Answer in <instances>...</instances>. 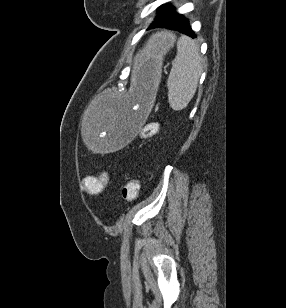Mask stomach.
<instances>
[{"label":"stomach","mask_w":286,"mask_h":308,"mask_svg":"<svg viewBox=\"0 0 286 308\" xmlns=\"http://www.w3.org/2000/svg\"><path fill=\"white\" fill-rule=\"evenodd\" d=\"M175 41L172 33L161 32L152 36L145 48L135 49L136 55L130 60L135 91H127V96H114L107 91L99 100H92L94 112H85L88 125H82L81 130L93 153H112L113 149H123V144H136L133 132L137 131L136 125H144L143 107H151L145 88L151 92L157 88L164 55Z\"/></svg>","instance_id":"obj_1"}]
</instances>
